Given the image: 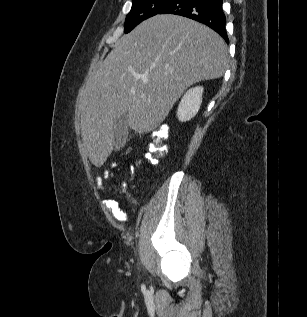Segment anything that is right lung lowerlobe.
Here are the masks:
<instances>
[{
  "label": "right lung lower lobe",
  "instance_id": "right-lung-lower-lobe-1",
  "mask_svg": "<svg viewBox=\"0 0 307 317\" xmlns=\"http://www.w3.org/2000/svg\"><path fill=\"white\" fill-rule=\"evenodd\" d=\"M159 14H174L196 20L212 28L228 42L222 0H172Z\"/></svg>",
  "mask_w": 307,
  "mask_h": 317
}]
</instances>
